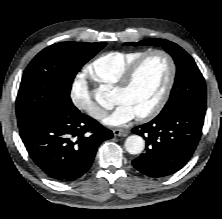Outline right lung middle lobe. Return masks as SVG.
Returning <instances> with one entry per match:
<instances>
[{
    "label": "right lung middle lobe",
    "instance_id": "dd1d6c3e",
    "mask_svg": "<svg viewBox=\"0 0 222 219\" xmlns=\"http://www.w3.org/2000/svg\"><path fill=\"white\" fill-rule=\"evenodd\" d=\"M105 46V42H60L38 53L26 68L18 91V126L41 118L57 105H73L70 91L75 75Z\"/></svg>",
    "mask_w": 222,
    "mask_h": 219
}]
</instances>
